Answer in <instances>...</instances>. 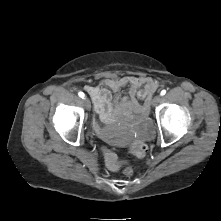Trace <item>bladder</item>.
Wrapping results in <instances>:
<instances>
[{
  "label": "bladder",
  "mask_w": 221,
  "mask_h": 221,
  "mask_svg": "<svg viewBox=\"0 0 221 221\" xmlns=\"http://www.w3.org/2000/svg\"><path fill=\"white\" fill-rule=\"evenodd\" d=\"M106 138L108 142L114 146H123L126 142L125 139H123L122 137L115 136L111 133H107Z\"/></svg>",
  "instance_id": "1"
}]
</instances>
